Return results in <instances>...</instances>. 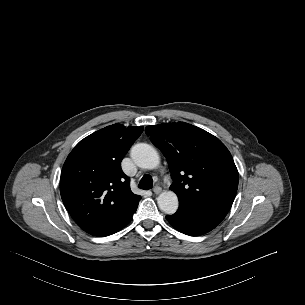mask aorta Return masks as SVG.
<instances>
[{
	"label": "aorta",
	"mask_w": 305,
	"mask_h": 305,
	"mask_svg": "<svg viewBox=\"0 0 305 305\" xmlns=\"http://www.w3.org/2000/svg\"><path fill=\"white\" fill-rule=\"evenodd\" d=\"M131 158L139 167L144 169H155L160 163L155 148L145 143H139L132 147ZM157 203L160 210L169 215L174 214L179 205L178 197L172 191L162 192L157 198Z\"/></svg>",
	"instance_id": "aorta-1"
}]
</instances>
